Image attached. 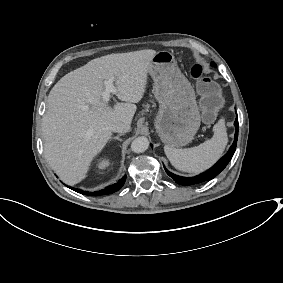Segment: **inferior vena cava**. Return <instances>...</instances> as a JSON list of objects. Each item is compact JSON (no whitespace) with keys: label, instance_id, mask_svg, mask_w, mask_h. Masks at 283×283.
Segmentation results:
<instances>
[{"label":"inferior vena cava","instance_id":"602c4592","mask_svg":"<svg viewBox=\"0 0 283 283\" xmlns=\"http://www.w3.org/2000/svg\"><path fill=\"white\" fill-rule=\"evenodd\" d=\"M112 130L118 133H125L130 130V125L128 123L117 124L112 127Z\"/></svg>","mask_w":283,"mask_h":283}]
</instances>
